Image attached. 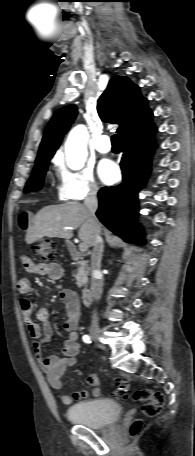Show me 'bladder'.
Masks as SVG:
<instances>
[{"mask_svg":"<svg viewBox=\"0 0 195 456\" xmlns=\"http://www.w3.org/2000/svg\"><path fill=\"white\" fill-rule=\"evenodd\" d=\"M66 416L73 423L101 429L116 423L121 418L122 407L112 399H93L70 406Z\"/></svg>","mask_w":195,"mask_h":456,"instance_id":"31cf9c89","label":"bladder"}]
</instances>
